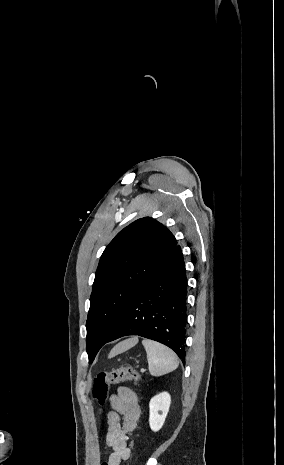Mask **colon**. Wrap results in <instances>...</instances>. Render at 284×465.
I'll return each mask as SVG.
<instances>
[{"label":"colon","instance_id":"obj_1","mask_svg":"<svg viewBox=\"0 0 284 465\" xmlns=\"http://www.w3.org/2000/svg\"><path fill=\"white\" fill-rule=\"evenodd\" d=\"M139 379L138 372L132 367H125L111 371L110 373L98 374L91 387V396L93 400L100 406H104L108 397L109 385L120 383L126 380L137 381ZM133 441L130 442V446ZM101 465H109L107 462H102ZM122 465V464H121Z\"/></svg>","mask_w":284,"mask_h":465}]
</instances>
